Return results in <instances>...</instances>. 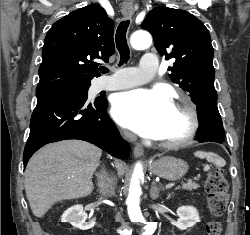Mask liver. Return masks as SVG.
I'll list each match as a JSON object with an SVG mask.
<instances>
[{
    "instance_id": "6515ba94",
    "label": "liver",
    "mask_w": 250,
    "mask_h": 235,
    "mask_svg": "<svg viewBox=\"0 0 250 235\" xmlns=\"http://www.w3.org/2000/svg\"><path fill=\"white\" fill-rule=\"evenodd\" d=\"M102 150L80 141L65 140L40 149L25 171V192L33 214L41 218L56 202L85 197L93 191L92 177ZM118 175L125 165L115 162Z\"/></svg>"
}]
</instances>
